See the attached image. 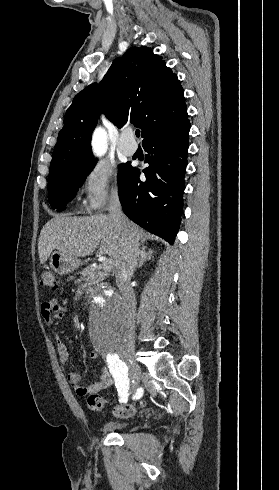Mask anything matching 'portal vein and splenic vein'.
<instances>
[{
    "label": "portal vein and splenic vein",
    "instance_id": "obj_1",
    "mask_svg": "<svg viewBox=\"0 0 279 490\" xmlns=\"http://www.w3.org/2000/svg\"><path fill=\"white\" fill-rule=\"evenodd\" d=\"M102 266H107V268H114L115 264H113L112 260H107V258H104Z\"/></svg>",
    "mask_w": 279,
    "mask_h": 490
}]
</instances>
